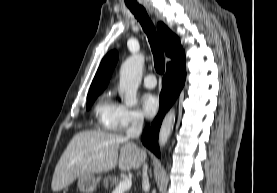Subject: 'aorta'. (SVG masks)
Listing matches in <instances>:
<instances>
[{
    "instance_id": "obj_1",
    "label": "aorta",
    "mask_w": 277,
    "mask_h": 193,
    "mask_svg": "<svg viewBox=\"0 0 277 193\" xmlns=\"http://www.w3.org/2000/svg\"><path fill=\"white\" fill-rule=\"evenodd\" d=\"M144 56L135 54L125 60L120 68L119 94L124 97L127 106H134L137 103V90L142 79ZM175 121V110L171 109L165 116L160 132L159 145L165 146Z\"/></svg>"
}]
</instances>
